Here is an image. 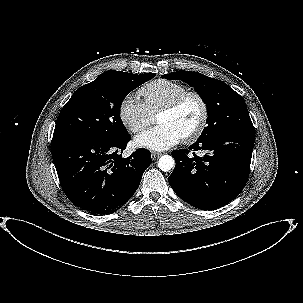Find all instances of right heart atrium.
<instances>
[{
  "instance_id": "1",
  "label": "right heart atrium",
  "mask_w": 303,
  "mask_h": 303,
  "mask_svg": "<svg viewBox=\"0 0 303 303\" xmlns=\"http://www.w3.org/2000/svg\"><path fill=\"white\" fill-rule=\"evenodd\" d=\"M119 117L132 133L144 130L151 122V113L145 103L133 94L126 95L119 105Z\"/></svg>"
}]
</instances>
